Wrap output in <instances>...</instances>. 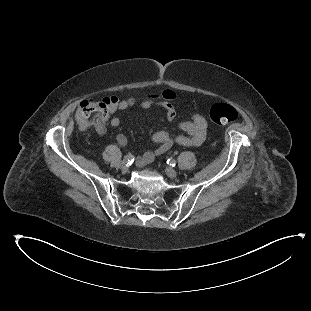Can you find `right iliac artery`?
I'll return each mask as SVG.
<instances>
[{"instance_id": "1", "label": "right iliac artery", "mask_w": 311, "mask_h": 311, "mask_svg": "<svg viewBox=\"0 0 311 311\" xmlns=\"http://www.w3.org/2000/svg\"><path fill=\"white\" fill-rule=\"evenodd\" d=\"M134 156L133 155H131V154H127L125 157H124V160L127 162V163H133V161H134Z\"/></svg>"}]
</instances>
